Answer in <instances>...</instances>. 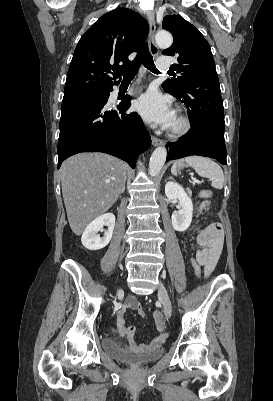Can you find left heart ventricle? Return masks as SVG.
I'll return each instance as SVG.
<instances>
[{
  "label": "left heart ventricle",
  "mask_w": 273,
  "mask_h": 401,
  "mask_svg": "<svg viewBox=\"0 0 273 401\" xmlns=\"http://www.w3.org/2000/svg\"><path fill=\"white\" fill-rule=\"evenodd\" d=\"M176 125H177V118H175V120L173 121L171 127H174V126H176Z\"/></svg>",
  "instance_id": "b2bd125f"
}]
</instances>
